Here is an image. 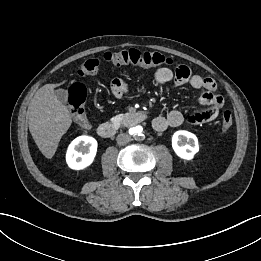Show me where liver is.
<instances>
[{"mask_svg":"<svg viewBox=\"0 0 261 261\" xmlns=\"http://www.w3.org/2000/svg\"><path fill=\"white\" fill-rule=\"evenodd\" d=\"M65 82V81H64ZM59 84H46L35 93L28 107L29 131L41 153L51 159L61 137L71 126V114L54 88Z\"/></svg>","mask_w":261,"mask_h":261,"instance_id":"obj_1","label":"liver"}]
</instances>
